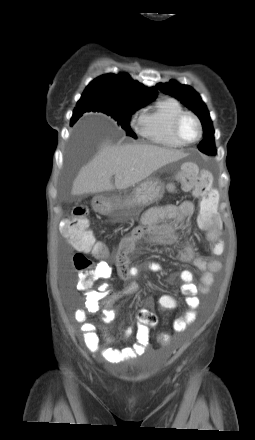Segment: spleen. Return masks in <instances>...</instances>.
I'll return each instance as SVG.
<instances>
[{
  "label": "spleen",
  "instance_id": "3e777b00",
  "mask_svg": "<svg viewBox=\"0 0 255 440\" xmlns=\"http://www.w3.org/2000/svg\"><path fill=\"white\" fill-rule=\"evenodd\" d=\"M207 237H208L209 239L213 240V239L216 238V234H215V232H210V233H208Z\"/></svg>",
  "mask_w": 255,
  "mask_h": 440
}]
</instances>
